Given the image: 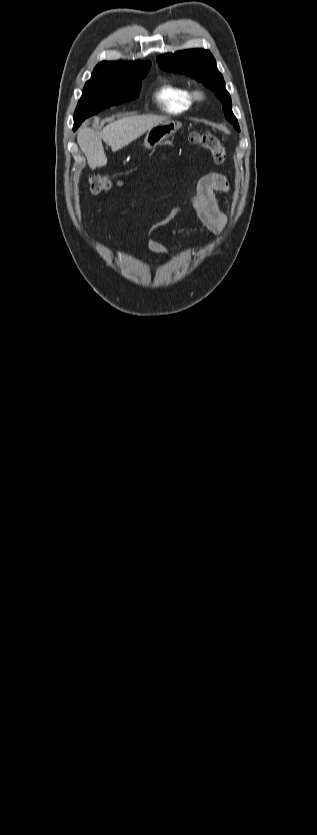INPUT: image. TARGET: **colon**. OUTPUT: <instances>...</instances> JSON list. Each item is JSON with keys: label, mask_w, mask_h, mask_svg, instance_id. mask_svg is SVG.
<instances>
[{"label": "colon", "mask_w": 317, "mask_h": 835, "mask_svg": "<svg viewBox=\"0 0 317 835\" xmlns=\"http://www.w3.org/2000/svg\"><path fill=\"white\" fill-rule=\"evenodd\" d=\"M189 140L211 153L213 160L216 163H222L226 156V150L220 140L206 132L197 131L190 135ZM89 187L92 194H101L109 191L113 187V180L101 174H94L89 177Z\"/></svg>", "instance_id": "obj_1"}]
</instances>
